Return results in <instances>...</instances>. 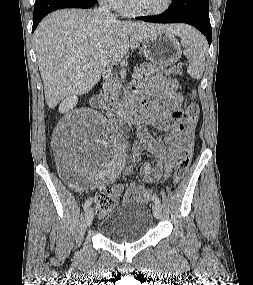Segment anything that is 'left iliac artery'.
<instances>
[{"label":"left iliac artery","instance_id":"1","mask_svg":"<svg viewBox=\"0 0 253 285\" xmlns=\"http://www.w3.org/2000/svg\"><path fill=\"white\" fill-rule=\"evenodd\" d=\"M152 200L154 201V203L160 204V199L157 195H153Z\"/></svg>","mask_w":253,"mask_h":285}]
</instances>
